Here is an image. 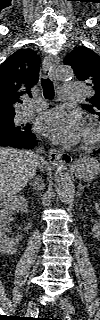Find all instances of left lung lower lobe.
Masks as SVG:
<instances>
[{
    "label": "left lung lower lobe",
    "instance_id": "left-lung-lower-lobe-1",
    "mask_svg": "<svg viewBox=\"0 0 100 320\" xmlns=\"http://www.w3.org/2000/svg\"><path fill=\"white\" fill-rule=\"evenodd\" d=\"M100 152V149L99 150H97L96 152H94V153H99Z\"/></svg>",
    "mask_w": 100,
    "mask_h": 320
}]
</instances>
